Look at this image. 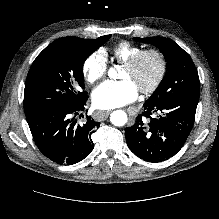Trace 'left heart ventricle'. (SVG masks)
Returning <instances> with one entry per match:
<instances>
[{"instance_id": "left-heart-ventricle-1", "label": "left heart ventricle", "mask_w": 219, "mask_h": 219, "mask_svg": "<svg viewBox=\"0 0 219 219\" xmlns=\"http://www.w3.org/2000/svg\"><path fill=\"white\" fill-rule=\"evenodd\" d=\"M158 72V61L150 55L144 58L135 70L123 68L120 79L131 81L137 89L149 86Z\"/></svg>"}]
</instances>
